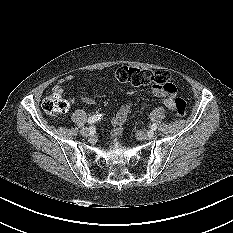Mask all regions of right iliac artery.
<instances>
[{"instance_id": "obj_1", "label": "right iliac artery", "mask_w": 233, "mask_h": 233, "mask_svg": "<svg viewBox=\"0 0 233 233\" xmlns=\"http://www.w3.org/2000/svg\"><path fill=\"white\" fill-rule=\"evenodd\" d=\"M101 117H102L101 114H97V115L91 116V117L88 118V121H87V122H88L89 124H93V123L97 122L98 120H100Z\"/></svg>"}]
</instances>
